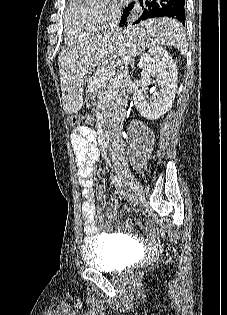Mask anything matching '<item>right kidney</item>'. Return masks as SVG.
Returning <instances> with one entry per match:
<instances>
[{"instance_id":"obj_1","label":"right kidney","mask_w":227,"mask_h":315,"mask_svg":"<svg viewBox=\"0 0 227 315\" xmlns=\"http://www.w3.org/2000/svg\"><path fill=\"white\" fill-rule=\"evenodd\" d=\"M139 68L143 84L133 95V102L141 116L156 120L170 110L175 99L178 81L176 63L166 49L161 46L151 47L140 58ZM157 75L159 90L152 89L147 95L150 75Z\"/></svg>"}]
</instances>
